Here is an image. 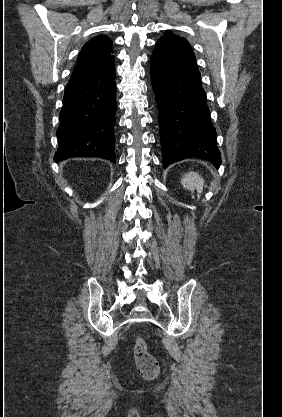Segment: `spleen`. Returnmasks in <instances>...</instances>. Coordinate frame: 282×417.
<instances>
[{
    "label": "spleen",
    "mask_w": 282,
    "mask_h": 417,
    "mask_svg": "<svg viewBox=\"0 0 282 417\" xmlns=\"http://www.w3.org/2000/svg\"><path fill=\"white\" fill-rule=\"evenodd\" d=\"M181 182L187 190H194L196 188L197 192H202V188L205 186L204 178L198 172H187L181 178Z\"/></svg>",
    "instance_id": "1"
}]
</instances>
